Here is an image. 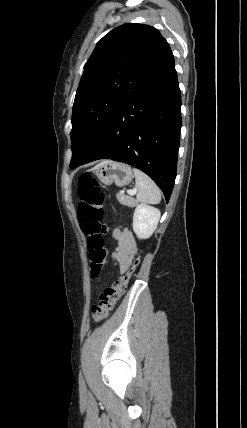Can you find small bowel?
Returning <instances> with one entry per match:
<instances>
[{"label": "small bowel", "mask_w": 247, "mask_h": 428, "mask_svg": "<svg viewBox=\"0 0 247 428\" xmlns=\"http://www.w3.org/2000/svg\"><path fill=\"white\" fill-rule=\"evenodd\" d=\"M112 234L117 241L115 252L112 255L113 263L121 272H125L137 251L135 238L127 229L115 228Z\"/></svg>", "instance_id": "1"}]
</instances>
